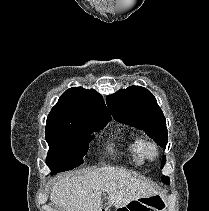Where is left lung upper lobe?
Returning <instances> with one entry per match:
<instances>
[{"label": "left lung upper lobe", "instance_id": "1", "mask_svg": "<svg viewBox=\"0 0 209 211\" xmlns=\"http://www.w3.org/2000/svg\"><path fill=\"white\" fill-rule=\"evenodd\" d=\"M115 120L144 130L156 143L165 147L168 142L166 120L155 97L141 86L120 89L107 97ZM166 159H162V167ZM169 178L162 177V181Z\"/></svg>", "mask_w": 209, "mask_h": 211}]
</instances>
